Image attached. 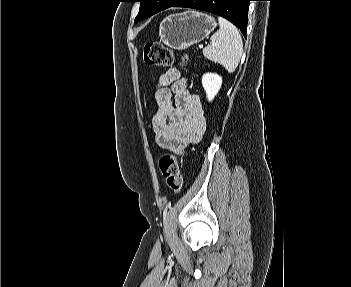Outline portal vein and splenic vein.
Wrapping results in <instances>:
<instances>
[{
	"label": "portal vein and splenic vein",
	"instance_id": "obj_1",
	"mask_svg": "<svg viewBox=\"0 0 351 287\" xmlns=\"http://www.w3.org/2000/svg\"><path fill=\"white\" fill-rule=\"evenodd\" d=\"M199 47H200V48H203V45H200Z\"/></svg>",
	"mask_w": 351,
	"mask_h": 287
}]
</instances>
